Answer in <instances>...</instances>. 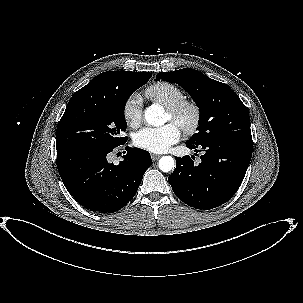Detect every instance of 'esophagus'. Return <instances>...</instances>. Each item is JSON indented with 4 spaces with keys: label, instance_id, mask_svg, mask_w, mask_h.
<instances>
[{
    "label": "esophagus",
    "instance_id": "34e87169",
    "mask_svg": "<svg viewBox=\"0 0 303 303\" xmlns=\"http://www.w3.org/2000/svg\"><path fill=\"white\" fill-rule=\"evenodd\" d=\"M151 157H152V160H153V161H156V160H158V159L161 157V155L152 154Z\"/></svg>",
    "mask_w": 303,
    "mask_h": 303
}]
</instances>
